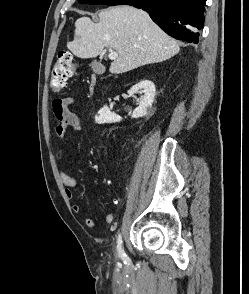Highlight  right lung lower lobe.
Listing matches in <instances>:
<instances>
[{
	"label": "right lung lower lobe",
	"mask_w": 249,
	"mask_h": 294,
	"mask_svg": "<svg viewBox=\"0 0 249 294\" xmlns=\"http://www.w3.org/2000/svg\"><path fill=\"white\" fill-rule=\"evenodd\" d=\"M206 0H121L147 11L167 34L189 43H198L203 26Z\"/></svg>",
	"instance_id": "1"
}]
</instances>
